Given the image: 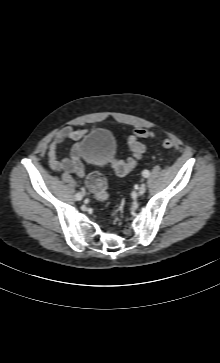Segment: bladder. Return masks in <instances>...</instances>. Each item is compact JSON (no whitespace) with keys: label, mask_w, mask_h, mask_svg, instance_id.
I'll use <instances>...</instances> for the list:
<instances>
[{"label":"bladder","mask_w":220,"mask_h":363,"mask_svg":"<svg viewBox=\"0 0 220 363\" xmlns=\"http://www.w3.org/2000/svg\"><path fill=\"white\" fill-rule=\"evenodd\" d=\"M81 156L91 165L110 162L115 154L112 134L106 129H93L87 133L79 147Z\"/></svg>","instance_id":"obj_1"}]
</instances>
